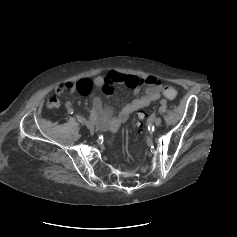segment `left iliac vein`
<instances>
[{
  "label": "left iliac vein",
  "instance_id": "4c4485c4",
  "mask_svg": "<svg viewBox=\"0 0 237 237\" xmlns=\"http://www.w3.org/2000/svg\"><path fill=\"white\" fill-rule=\"evenodd\" d=\"M162 122V119L161 118H156L155 121H154V125L155 126H159Z\"/></svg>",
  "mask_w": 237,
  "mask_h": 237
}]
</instances>
